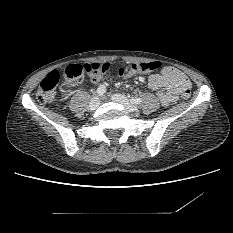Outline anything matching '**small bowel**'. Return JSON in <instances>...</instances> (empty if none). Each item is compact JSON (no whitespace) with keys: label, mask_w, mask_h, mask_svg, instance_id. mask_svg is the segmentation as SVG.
<instances>
[{"label":"small bowel","mask_w":233,"mask_h":233,"mask_svg":"<svg viewBox=\"0 0 233 233\" xmlns=\"http://www.w3.org/2000/svg\"><path fill=\"white\" fill-rule=\"evenodd\" d=\"M138 73L143 72L129 71L127 76L131 77ZM97 79V77H93V80ZM77 82L81 83L80 80ZM148 87L157 91L158 100L162 106H168L178 99L181 90L190 89V82L183 72L165 66L159 72L148 77Z\"/></svg>","instance_id":"c3829d8e"}]
</instances>
